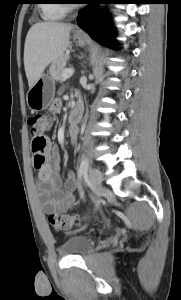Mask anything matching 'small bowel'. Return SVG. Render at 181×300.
<instances>
[{
	"mask_svg": "<svg viewBox=\"0 0 181 300\" xmlns=\"http://www.w3.org/2000/svg\"><path fill=\"white\" fill-rule=\"evenodd\" d=\"M62 107L60 99L54 100L50 105L52 113L59 112ZM72 143L75 142L78 128H69ZM39 162V160H41ZM34 167L38 171V196L42 202L43 211L47 214L63 212L75 205L76 202V179L69 172L62 181L59 176L60 155L57 149L49 145L40 155L33 153Z\"/></svg>",
	"mask_w": 181,
	"mask_h": 300,
	"instance_id": "small-bowel-1",
	"label": "small bowel"
}]
</instances>
